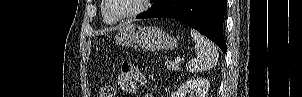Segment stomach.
I'll return each mask as SVG.
<instances>
[{"label": "stomach", "mask_w": 302, "mask_h": 97, "mask_svg": "<svg viewBox=\"0 0 302 97\" xmlns=\"http://www.w3.org/2000/svg\"><path fill=\"white\" fill-rule=\"evenodd\" d=\"M116 43L124 47H142L148 51L174 50L178 41L155 26L141 27L126 24L115 37Z\"/></svg>", "instance_id": "obj_1"}]
</instances>
